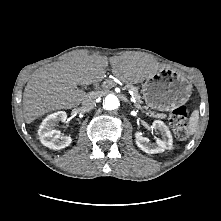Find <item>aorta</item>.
Segmentation results:
<instances>
[{"label": "aorta", "instance_id": "1", "mask_svg": "<svg viewBox=\"0 0 221 221\" xmlns=\"http://www.w3.org/2000/svg\"><path fill=\"white\" fill-rule=\"evenodd\" d=\"M119 99L113 94L107 95L103 100V106L106 110H114L119 106Z\"/></svg>", "mask_w": 221, "mask_h": 221}]
</instances>
